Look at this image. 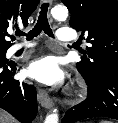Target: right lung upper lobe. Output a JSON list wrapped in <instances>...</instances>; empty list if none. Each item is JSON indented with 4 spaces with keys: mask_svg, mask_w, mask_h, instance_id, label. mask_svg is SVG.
<instances>
[{
    "mask_svg": "<svg viewBox=\"0 0 118 123\" xmlns=\"http://www.w3.org/2000/svg\"><path fill=\"white\" fill-rule=\"evenodd\" d=\"M39 0H0V50H7L12 44L6 40L7 30L18 25L27 26L28 18L36 9Z\"/></svg>",
    "mask_w": 118,
    "mask_h": 123,
    "instance_id": "right-lung-upper-lobe-1",
    "label": "right lung upper lobe"
}]
</instances>
